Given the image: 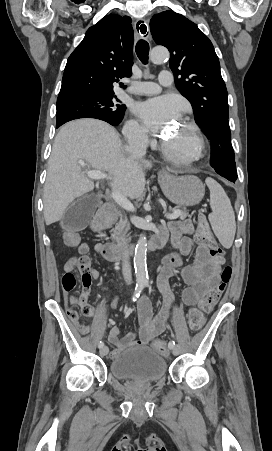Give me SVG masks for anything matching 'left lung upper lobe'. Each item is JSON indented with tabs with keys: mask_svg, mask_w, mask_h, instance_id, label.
Returning <instances> with one entry per match:
<instances>
[{
	"mask_svg": "<svg viewBox=\"0 0 272 451\" xmlns=\"http://www.w3.org/2000/svg\"><path fill=\"white\" fill-rule=\"evenodd\" d=\"M150 29L154 41L168 48L177 88L191 102L196 123L212 142L211 166L223 177L237 178L227 89L211 41L195 23L172 10L154 15Z\"/></svg>",
	"mask_w": 272,
	"mask_h": 451,
	"instance_id": "obj_1",
	"label": "left lung upper lobe"
}]
</instances>
